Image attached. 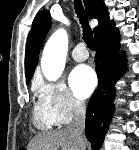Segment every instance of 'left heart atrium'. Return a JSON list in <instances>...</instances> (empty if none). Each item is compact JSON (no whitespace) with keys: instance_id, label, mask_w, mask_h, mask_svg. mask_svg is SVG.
I'll use <instances>...</instances> for the list:
<instances>
[{"instance_id":"left-heart-atrium-1","label":"left heart atrium","mask_w":139,"mask_h":150,"mask_svg":"<svg viewBox=\"0 0 139 150\" xmlns=\"http://www.w3.org/2000/svg\"><path fill=\"white\" fill-rule=\"evenodd\" d=\"M96 82V75L88 66H78L70 75L71 89L79 99L89 97L96 86Z\"/></svg>"}]
</instances>
